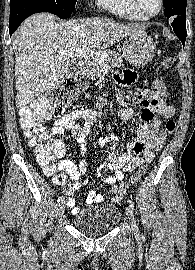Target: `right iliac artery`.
Returning a JSON list of instances; mask_svg holds the SVG:
<instances>
[{
	"instance_id": "82829eb1",
	"label": "right iliac artery",
	"mask_w": 195,
	"mask_h": 270,
	"mask_svg": "<svg viewBox=\"0 0 195 270\" xmlns=\"http://www.w3.org/2000/svg\"><path fill=\"white\" fill-rule=\"evenodd\" d=\"M62 201V196H60L57 200L58 203H60Z\"/></svg>"
}]
</instances>
